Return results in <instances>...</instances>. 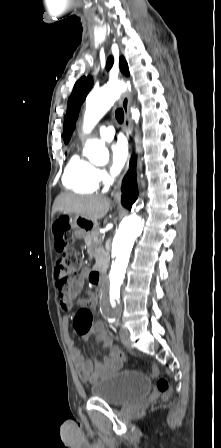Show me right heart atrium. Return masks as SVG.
I'll return each mask as SVG.
<instances>
[{"mask_svg":"<svg viewBox=\"0 0 221 448\" xmlns=\"http://www.w3.org/2000/svg\"><path fill=\"white\" fill-rule=\"evenodd\" d=\"M96 176L99 183H107L109 180V176L103 168L96 169Z\"/></svg>","mask_w":221,"mask_h":448,"instance_id":"1","label":"right heart atrium"}]
</instances>
